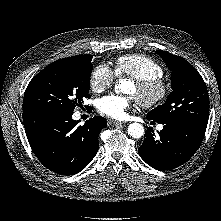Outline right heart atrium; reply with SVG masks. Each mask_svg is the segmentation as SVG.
<instances>
[{
    "label": "right heart atrium",
    "instance_id": "1",
    "mask_svg": "<svg viewBox=\"0 0 221 221\" xmlns=\"http://www.w3.org/2000/svg\"><path fill=\"white\" fill-rule=\"evenodd\" d=\"M116 78L115 72L106 64L96 65L90 75V87L96 93L109 89Z\"/></svg>",
    "mask_w": 221,
    "mask_h": 221
}]
</instances>
